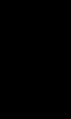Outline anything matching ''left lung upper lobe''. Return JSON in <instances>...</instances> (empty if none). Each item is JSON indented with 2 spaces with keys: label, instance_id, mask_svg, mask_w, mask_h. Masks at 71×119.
Listing matches in <instances>:
<instances>
[{
  "label": "left lung upper lobe",
  "instance_id": "5c2ea615",
  "mask_svg": "<svg viewBox=\"0 0 71 119\" xmlns=\"http://www.w3.org/2000/svg\"><path fill=\"white\" fill-rule=\"evenodd\" d=\"M44 11L59 22L65 32L70 33L71 0H41Z\"/></svg>",
  "mask_w": 71,
  "mask_h": 119
}]
</instances>
